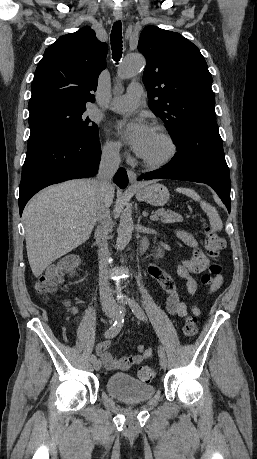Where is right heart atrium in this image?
<instances>
[{
    "mask_svg": "<svg viewBox=\"0 0 257 459\" xmlns=\"http://www.w3.org/2000/svg\"><path fill=\"white\" fill-rule=\"evenodd\" d=\"M103 156L110 161H118L121 158V145L113 140L107 139L102 148Z\"/></svg>",
    "mask_w": 257,
    "mask_h": 459,
    "instance_id": "right-heart-atrium-1",
    "label": "right heart atrium"
}]
</instances>
